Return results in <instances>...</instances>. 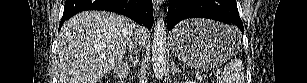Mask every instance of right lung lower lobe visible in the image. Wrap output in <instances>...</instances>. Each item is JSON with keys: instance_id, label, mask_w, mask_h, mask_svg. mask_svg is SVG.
I'll return each instance as SVG.
<instances>
[{"instance_id": "1", "label": "right lung lower lobe", "mask_w": 307, "mask_h": 83, "mask_svg": "<svg viewBox=\"0 0 307 83\" xmlns=\"http://www.w3.org/2000/svg\"><path fill=\"white\" fill-rule=\"evenodd\" d=\"M86 10H108L127 16L148 29L153 26L152 0H66L59 28L65 20Z\"/></svg>"}]
</instances>
